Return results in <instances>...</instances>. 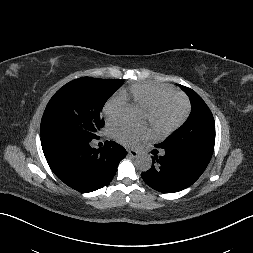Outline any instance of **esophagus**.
I'll return each mask as SVG.
<instances>
[{"label":"esophagus","mask_w":253,"mask_h":253,"mask_svg":"<svg viewBox=\"0 0 253 253\" xmlns=\"http://www.w3.org/2000/svg\"><path fill=\"white\" fill-rule=\"evenodd\" d=\"M128 155L132 158H136L139 155V153L136 150L130 149L128 150Z\"/></svg>","instance_id":"obj_1"}]
</instances>
